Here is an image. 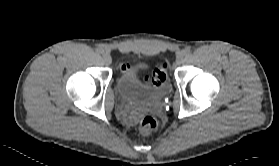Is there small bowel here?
Masks as SVG:
<instances>
[{
  "mask_svg": "<svg viewBox=\"0 0 279 166\" xmlns=\"http://www.w3.org/2000/svg\"><path fill=\"white\" fill-rule=\"evenodd\" d=\"M128 68H129V65H122L121 71L123 72V71L127 70Z\"/></svg>",
  "mask_w": 279,
  "mask_h": 166,
  "instance_id": "small-bowel-1",
  "label": "small bowel"
}]
</instances>
